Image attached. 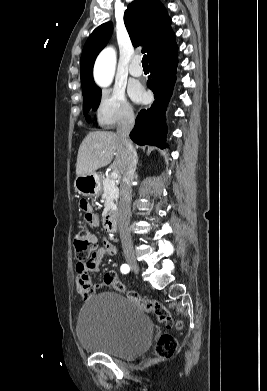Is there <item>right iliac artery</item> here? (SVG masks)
I'll list each match as a JSON object with an SVG mask.
<instances>
[{"label": "right iliac artery", "instance_id": "82829eb1", "mask_svg": "<svg viewBox=\"0 0 267 391\" xmlns=\"http://www.w3.org/2000/svg\"><path fill=\"white\" fill-rule=\"evenodd\" d=\"M129 270H130V268H129V266L127 265V264H123L122 266H121V272L122 273H128L129 272Z\"/></svg>", "mask_w": 267, "mask_h": 391}]
</instances>
